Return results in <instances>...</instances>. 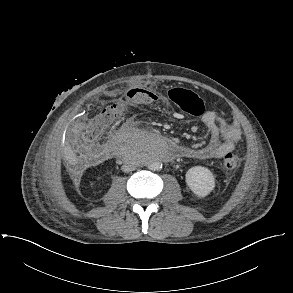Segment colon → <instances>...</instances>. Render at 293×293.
<instances>
[{"label": "colon", "instance_id": "colon-1", "mask_svg": "<svg viewBox=\"0 0 293 293\" xmlns=\"http://www.w3.org/2000/svg\"><path fill=\"white\" fill-rule=\"evenodd\" d=\"M172 98L177 105L189 113H194L199 101L194 92L183 88L175 89ZM151 102L152 92L149 90L142 87L130 89L123 99L108 105L89 120L82 134L84 142L91 143L100 138L129 108L144 106ZM222 163L224 169L233 171L238 168L240 159L233 152L227 151L223 155Z\"/></svg>", "mask_w": 293, "mask_h": 293}]
</instances>
